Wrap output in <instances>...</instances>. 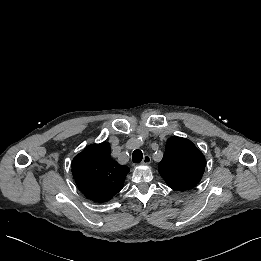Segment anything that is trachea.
Segmentation results:
<instances>
[{"instance_id": "3493384b", "label": "trachea", "mask_w": 261, "mask_h": 261, "mask_svg": "<svg viewBox=\"0 0 261 261\" xmlns=\"http://www.w3.org/2000/svg\"><path fill=\"white\" fill-rule=\"evenodd\" d=\"M143 159V153L141 150L136 149L132 154V161L134 163H140Z\"/></svg>"}]
</instances>
